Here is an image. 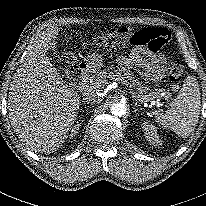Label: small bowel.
<instances>
[{
    "mask_svg": "<svg viewBox=\"0 0 206 206\" xmlns=\"http://www.w3.org/2000/svg\"><path fill=\"white\" fill-rule=\"evenodd\" d=\"M120 62L139 67L140 75L147 80H160L166 66L163 54L150 52L145 47L134 48L130 56L120 59Z\"/></svg>",
    "mask_w": 206,
    "mask_h": 206,
    "instance_id": "obj_1",
    "label": "small bowel"
}]
</instances>
